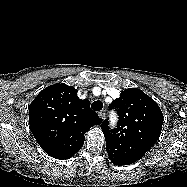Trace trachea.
<instances>
[{"instance_id":"3493384b","label":"trachea","mask_w":187,"mask_h":187,"mask_svg":"<svg viewBox=\"0 0 187 187\" xmlns=\"http://www.w3.org/2000/svg\"><path fill=\"white\" fill-rule=\"evenodd\" d=\"M91 108L95 111H100L103 108V103L100 100L94 101L91 104Z\"/></svg>"}]
</instances>
